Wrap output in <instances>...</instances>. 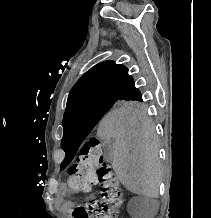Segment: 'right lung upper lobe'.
I'll return each instance as SVG.
<instances>
[{"instance_id":"obj_1","label":"right lung upper lobe","mask_w":211,"mask_h":218,"mask_svg":"<svg viewBox=\"0 0 211 218\" xmlns=\"http://www.w3.org/2000/svg\"><path fill=\"white\" fill-rule=\"evenodd\" d=\"M133 81L128 69L113 61L102 62L86 72L70 91L66 109L97 99H125L123 91Z\"/></svg>"}]
</instances>
